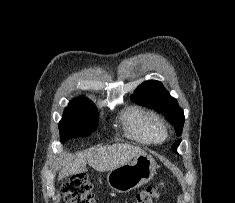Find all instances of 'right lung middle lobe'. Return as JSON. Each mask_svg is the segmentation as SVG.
<instances>
[{"label":"right lung middle lobe","instance_id":"dd1d6c3e","mask_svg":"<svg viewBox=\"0 0 235 203\" xmlns=\"http://www.w3.org/2000/svg\"><path fill=\"white\" fill-rule=\"evenodd\" d=\"M98 114L95 105L87 98H75L65 109L59 122L61 142L74 137L90 135L97 129Z\"/></svg>","mask_w":235,"mask_h":203}]
</instances>
